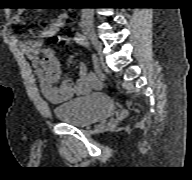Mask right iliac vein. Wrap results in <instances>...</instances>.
Wrapping results in <instances>:
<instances>
[{
	"label": "right iliac vein",
	"instance_id": "63e3f726",
	"mask_svg": "<svg viewBox=\"0 0 192 180\" xmlns=\"http://www.w3.org/2000/svg\"><path fill=\"white\" fill-rule=\"evenodd\" d=\"M81 28L83 33L88 37V39L92 42V44L99 50L100 44L97 39L92 23L88 21H83L81 24Z\"/></svg>",
	"mask_w": 192,
	"mask_h": 180
}]
</instances>
